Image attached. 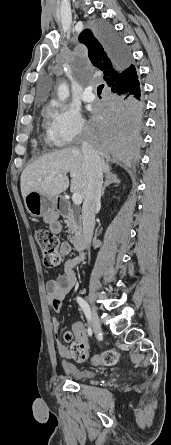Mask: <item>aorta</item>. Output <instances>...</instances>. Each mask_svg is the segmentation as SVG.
Returning <instances> with one entry per match:
<instances>
[{"instance_id": "aorta-1", "label": "aorta", "mask_w": 171, "mask_h": 445, "mask_svg": "<svg viewBox=\"0 0 171 445\" xmlns=\"http://www.w3.org/2000/svg\"><path fill=\"white\" fill-rule=\"evenodd\" d=\"M57 95H58L59 100H61V101H64L65 99L68 98L69 89L65 83H62L59 85Z\"/></svg>"}]
</instances>
